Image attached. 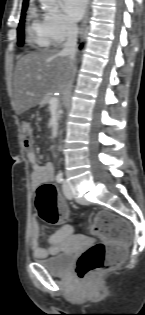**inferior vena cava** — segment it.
Returning <instances> with one entry per match:
<instances>
[{
    "label": "inferior vena cava",
    "mask_w": 145,
    "mask_h": 315,
    "mask_svg": "<svg viewBox=\"0 0 145 315\" xmlns=\"http://www.w3.org/2000/svg\"><path fill=\"white\" fill-rule=\"evenodd\" d=\"M78 27L76 24H69L67 27V40L60 52L61 55L68 56L70 62L74 61L76 54Z\"/></svg>",
    "instance_id": "inferior-vena-cava-1"
}]
</instances>
